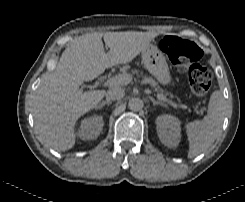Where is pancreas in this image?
<instances>
[{
    "instance_id": "cf45deb5",
    "label": "pancreas",
    "mask_w": 245,
    "mask_h": 202,
    "mask_svg": "<svg viewBox=\"0 0 245 202\" xmlns=\"http://www.w3.org/2000/svg\"><path fill=\"white\" fill-rule=\"evenodd\" d=\"M144 78L147 80L148 83H150V84L152 85V87L155 89V91H157L159 94H162V95H164V96H168V95H169L168 92H164L162 89H159L158 83H157L153 78L147 77V76H145ZM171 97H173V96L171 95ZM172 106H173V107L186 108L185 105H182V104H176V103H174V102H173Z\"/></svg>"
}]
</instances>
